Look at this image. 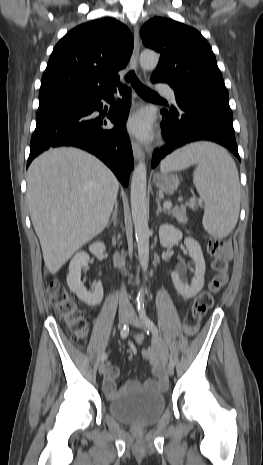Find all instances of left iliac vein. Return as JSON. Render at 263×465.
<instances>
[{
  "instance_id": "left-iliac-vein-1",
  "label": "left iliac vein",
  "mask_w": 263,
  "mask_h": 465,
  "mask_svg": "<svg viewBox=\"0 0 263 465\" xmlns=\"http://www.w3.org/2000/svg\"><path fill=\"white\" fill-rule=\"evenodd\" d=\"M128 321L131 325L138 327V328H143L144 326L143 322L139 319V317L136 315L133 309L129 311ZM167 373L170 376L174 374V367L171 364H169L167 367Z\"/></svg>"
}]
</instances>
